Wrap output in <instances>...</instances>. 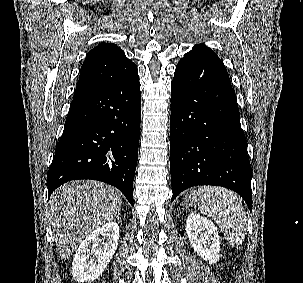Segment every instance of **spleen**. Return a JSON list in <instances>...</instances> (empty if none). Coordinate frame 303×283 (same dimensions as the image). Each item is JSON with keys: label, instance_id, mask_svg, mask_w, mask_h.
I'll list each match as a JSON object with an SVG mask.
<instances>
[{"label": "spleen", "instance_id": "3e777b00", "mask_svg": "<svg viewBox=\"0 0 303 283\" xmlns=\"http://www.w3.org/2000/svg\"><path fill=\"white\" fill-rule=\"evenodd\" d=\"M201 203V214L212 217L222 231L225 240L240 245L247 231V217L241 200L234 192L215 186H203L196 192Z\"/></svg>", "mask_w": 303, "mask_h": 283}]
</instances>
